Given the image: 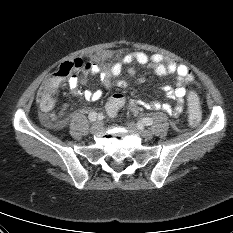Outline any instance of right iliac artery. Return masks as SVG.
I'll return each instance as SVG.
<instances>
[{"label": "right iliac artery", "instance_id": "82829eb1", "mask_svg": "<svg viewBox=\"0 0 233 233\" xmlns=\"http://www.w3.org/2000/svg\"><path fill=\"white\" fill-rule=\"evenodd\" d=\"M90 121H95L97 120V113L96 112H91L88 116Z\"/></svg>", "mask_w": 233, "mask_h": 233}]
</instances>
